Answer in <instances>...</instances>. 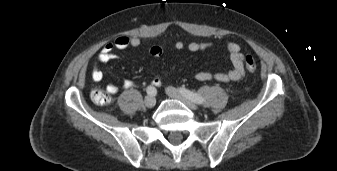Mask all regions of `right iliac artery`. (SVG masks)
I'll return each instance as SVG.
<instances>
[{"instance_id":"right-iliac-artery-1","label":"right iliac artery","mask_w":337,"mask_h":171,"mask_svg":"<svg viewBox=\"0 0 337 171\" xmlns=\"http://www.w3.org/2000/svg\"><path fill=\"white\" fill-rule=\"evenodd\" d=\"M146 91H147V93H148L149 95L155 96V95L157 94V90H156V88L153 87V86H148L147 89H146Z\"/></svg>"}]
</instances>
